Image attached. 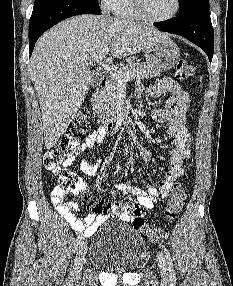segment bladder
<instances>
[{"label":"bladder","mask_w":233,"mask_h":286,"mask_svg":"<svg viewBox=\"0 0 233 286\" xmlns=\"http://www.w3.org/2000/svg\"><path fill=\"white\" fill-rule=\"evenodd\" d=\"M149 255L146 241L130 225L117 221L106 223L89 248L90 261L112 273L136 271Z\"/></svg>","instance_id":"31cf9c89"}]
</instances>
